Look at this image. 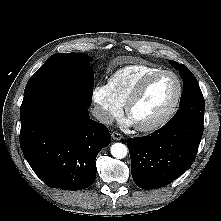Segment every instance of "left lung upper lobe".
I'll list each match as a JSON object with an SVG mask.
<instances>
[{
	"label": "left lung upper lobe",
	"instance_id": "1",
	"mask_svg": "<svg viewBox=\"0 0 221 221\" xmlns=\"http://www.w3.org/2000/svg\"><path fill=\"white\" fill-rule=\"evenodd\" d=\"M170 62L180 69L184 79V92L182 93L179 110L196 109L204 112L205 101L193 73L186 66L178 64L176 61Z\"/></svg>",
	"mask_w": 221,
	"mask_h": 221
}]
</instances>
